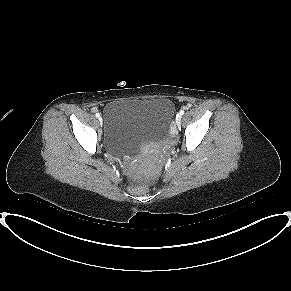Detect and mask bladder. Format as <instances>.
Here are the masks:
<instances>
[{"instance_id":"obj_1","label":"bladder","mask_w":291,"mask_h":291,"mask_svg":"<svg viewBox=\"0 0 291 291\" xmlns=\"http://www.w3.org/2000/svg\"><path fill=\"white\" fill-rule=\"evenodd\" d=\"M168 98L117 100L103 111V143L113 155H130L144 143L163 138L172 121Z\"/></svg>"}]
</instances>
